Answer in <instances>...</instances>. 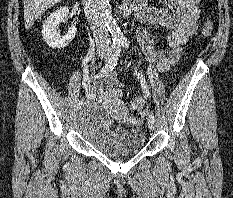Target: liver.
<instances>
[{
    "label": "liver",
    "mask_w": 233,
    "mask_h": 198,
    "mask_svg": "<svg viewBox=\"0 0 233 198\" xmlns=\"http://www.w3.org/2000/svg\"><path fill=\"white\" fill-rule=\"evenodd\" d=\"M61 1L62 0H24L25 28L29 30L45 11Z\"/></svg>",
    "instance_id": "liver-1"
}]
</instances>
